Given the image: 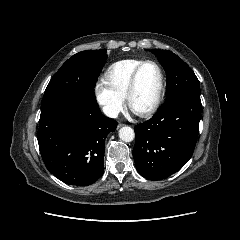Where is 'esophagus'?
<instances>
[{"label": "esophagus", "instance_id": "1", "mask_svg": "<svg viewBox=\"0 0 240 240\" xmlns=\"http://www.w3.org/2000/svg\"><path fill=\"white\" fill-rule=\"evenodd\" d=\"M122 126H124L123 123H119V124H118V128H120V127H122Z\"/></svg>", "mask_w": 240, "mask_h": 240}]
</instances>
